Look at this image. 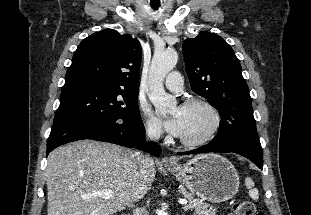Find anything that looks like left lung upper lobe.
<instances>
[{"mask_svg":"<svg viewBox=\"0 0 311 215\" xmlns=\"http://www.w3.org/2000/svg\"><path fill=\"white\" fill-rule=\"evenodd\" d=\"M183 54L192 90L206 98L222 118L214 140L256 133L249 88L230 45L216 34L200 32L183 42Z\"/></svg>","mask_w":311,"mask_h":215,"instance_id":"left-lung-upper-lobe-1","label":"left lung upper lobe"}]
</instances>
